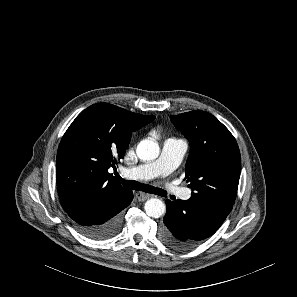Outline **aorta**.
<instances>
[{
	"mask_svg": "<svg viewBox=\"0 0 297 297\" xmlns=\"http://www.w3.org/2000/svg\"><path fill=\"white\" fill-rule=\"evenodd\" d=\"M136 153L141 160L151 161L159 156L160 148L157 142L145 139L138 144ZM144 210L148 216L159 218L165 213L166 206L160 199L151 198L146 201Z\"/></svg>",
	"mask_w": 297,
	"mask_h": 297,
	"instance_id": "762f6f07",
	"label": "aorta"
}]
</instances>
